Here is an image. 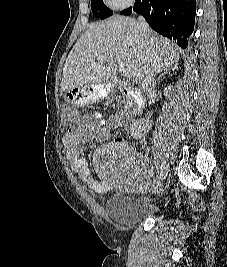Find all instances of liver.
I'll use <instances>...</instances> for the list:
<instances>
[{
    "label": "liver",
    "instance_id": "6515ba94",
    "mask_svg": "<svg viewBox=\"0 0 227 267\" xmlns=\"http://www.w3.org/2000/svg\"><path fill=\"white\" fill-rule=\"evenodd\" d=\"M179 52L176 44L151 29L143 37L135 19L114 15L91 24L75 43L63 67L61 90L110 84L119 61L132 69L133 81L141 85L148 71L157 74L176 64Z\"/></svg>",
    "mask_w": 227,
    "mask_h": 267
}]
</instances>
